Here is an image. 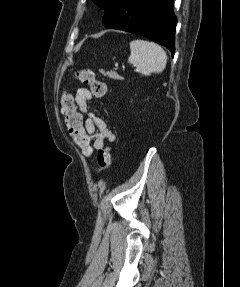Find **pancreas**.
Listing matches in <instances>:
<instances>
[{
  "mask_svg": "<svg viewBox=\"0 0 240 287\" xmlns=\"http://www.w3.org/2000/svg\"><path fill=\"white\" fill-rule=\"evenodd\" d=\"M101 73H102V75L108 76V77L111 78V79L120 80V79L122 78L120 75H118V74H117L116 72H114V71H107V72H105V71L101 70Z\"/></svg>",
  "mask_w": 240,
  "mask_h": 287,
  "instance_id": "pancreas-1",
  "label": "pancreas"
}]
</instances>
